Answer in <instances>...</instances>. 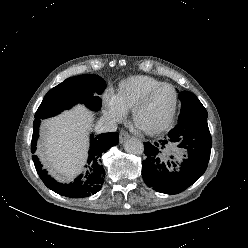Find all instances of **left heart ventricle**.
Here are the masks:
<instances>
[{
	"mask_svg": "<svg viewBox=\"0 0 248 248\" xmlns=\"http://www.w3.org/2000/svg\"><path fill=\"white\" fill-rule=\"evenodd\" d=\"M173 91L164 87L157 91L148 105L142 110L137 119V124L145 129H153L166 122L173 106Z\"/></svg>",
	"mask_w": 248,
	"mask_h": 248,
	"instance_id": "left-heart-ventricle-1",
	"label": "left heart ventricle"
}]
</instances>
